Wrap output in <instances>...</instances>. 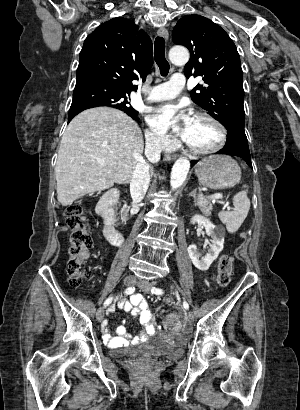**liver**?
<instances>
[{
    "mask_svg": "<svg viewBox=\"0 0 300 410\" xmlns=\"http://www.w3.org/2000/svg\"><path fill=\"white\" fill-rule=\"evenodd\" d=\"M144 141L138 124L109 107L87 109L68 125L55 167L57 199L68 206L84 195L131 181ZM99 159L104 164H99Z\"/></svg>",
    "mask_w": 300,
    "mask_h": 410,
    "instance_id": "liver-1",
    "label": "liver"
}]
</instances>
